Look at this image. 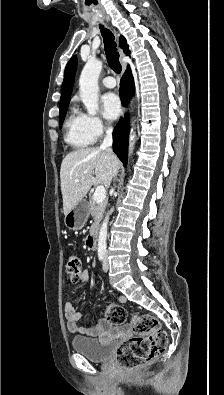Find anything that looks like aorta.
Here are the masks:
<instances>
[{"mask_svg": "<svg viewBox=\"0 0 224 395\" xmlns=\"http://www.w3.org/2000/svg\"><path fill=\"white\" fill-rule=\"evenodd\" d=\"M103 64L100 60L89 59L85 64L79 79L80 97L85 105V108L89 115H96L99 104H98V78L102 71ZM136 141V133L133 128L130 132L129 139V154H131L134 144ZM109 213H107L98 234V251L104 252L107 248V229L109 222Z\"/></svg>", "mask_w": 224, "mask_h": 395, "instance_id": "obj_1", "label": "aorta"}]
</instances>
